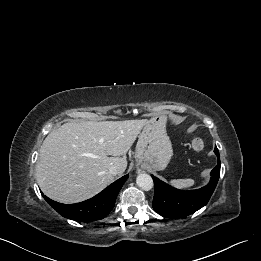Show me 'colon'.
Masks as SVG:
<instances>
[{"mask_svg": "<svg viewBox=\"0 0 261 261\" xmlns=\"http://www.w3.org/2000/svg\"><path fill=\"white\" fill-rule=\"evenodd\" d=\"M204 148V141L202 138L200 137H195L193 138L192 142H191V149L194 152H200L202 151Z\"/></svg>", "mask_w": 261, "mask_h": 261, "instance_id": "5ec220e1", "label": "colon"}]
</instances>
